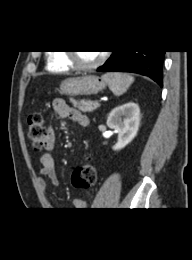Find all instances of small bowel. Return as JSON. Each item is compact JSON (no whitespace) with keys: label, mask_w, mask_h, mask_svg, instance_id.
Instances as JSON below:
<instances>
[{"label":"small bowel","mask_w":192,"mask_h":260,"mask_svg":"<svg viewBox=\"0 0 192 260\" xmlns=\"http://www.w3.org/2000/svg\"><path fill=\"white\" fill-rule=\"evenodd\" d=\"M52 106L55 113L60 118H67L72 120L73 122L78 123L81 126L88 125V118L82 114L77 109L70 107L63 99L55 98L52 101ZM47 145L46 149L51 150L55 145V133L54 130L49 127L47 129ZM41 168L39 169V185L42 190H45L47 187V180L51 182L52 185H58V178L56 174L55 161L53 157L48 153H44L41 158ZM73 208L76 210H84L88 207V202L83 199H74Z\"/></svg>","instance_id":"c3829d8e"}]
</instances>
